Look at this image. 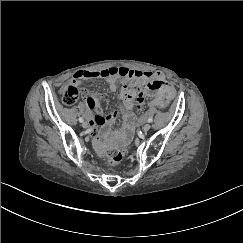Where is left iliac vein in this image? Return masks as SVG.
Returning <instances> with one entry per match:
<instances>
[{"label": "left iliac vein", "instance_id": "4c4485c4", "mask_svg": "<svg viewBox=\"0 0 243 243\" xmlns=\"http://www.w3.org/2000/svg\"><path fill=\"white\" fill-rule=\"evenodd\" d=\"M150 128H151V125H150L149 123H147V124H145V125L142 127V130H143L144 132H147V131L150 130Z\"/></svg>", "mask_w": 243, "mask_h": 243}]
</instances>
